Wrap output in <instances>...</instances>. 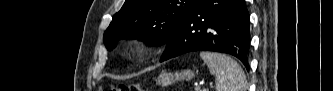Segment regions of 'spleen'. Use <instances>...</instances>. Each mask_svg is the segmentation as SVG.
Listing matches in <instances>:
<instances>
[{
	"mask_svg": "<svg viewBox=\"0 0 333 91\" xmlns=\"http://www.w3.org/2000/svg\"><path fill=\"white\" fill-rule=\"evenodd\" d=\"M200 57L215 75L216 91H246L247 80L241 66L230 56L216 52H200Z\"/></svg>",
	"mask_w": 333,
	"mask_h": 91,
	"instance_id": "3e777b00",
	"label": "spleen"
}]
</instances>
